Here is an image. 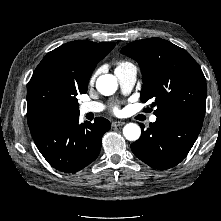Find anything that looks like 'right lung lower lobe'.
Segmentation results:
<instances>
[{
    "label": "right lung lower lobe",
    "instance_id": "1",
    "mask_svg": "<svg viewBox=\"0 0 221 221\" xmlns=\"http://www.w3.org/2000/svg\"><path fill=\"white\" fill-rule=\"evenodd\" d=\"M110 122L97 117L79 123L78 115H62L30 128L32 138L47 162L59 171L76 172L99 155L101 140Z\"/></svg>",
    "mask_w": 221,
    "mask_h": 221
}]
</instances>
